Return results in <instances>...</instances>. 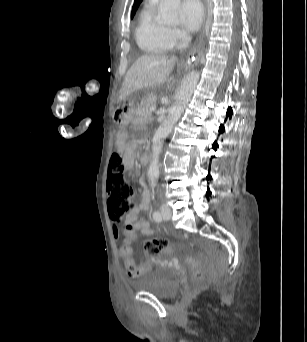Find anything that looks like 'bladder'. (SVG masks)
Listing matches in <instances>:
<instances>
[{"label":"bladder","mask_w":307,"mask_h":342,"mask_svg":"<svg viewBox=\"0 0 307 342\" xmlns=\"http://www.w3.org/2000/svg\"><path fill=\"white\" fill-rule=\"evenodd\" d=\"M140 289L159 297L169 298L176 292L177 284L162 268L157 267L144 277Z\"/></svg>","instance_id":"obj_1"}]
</instances>
